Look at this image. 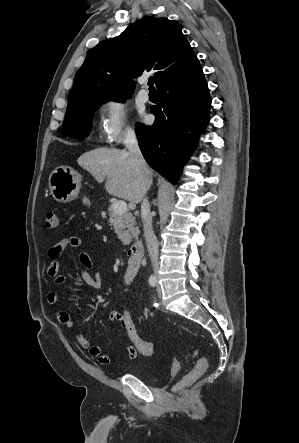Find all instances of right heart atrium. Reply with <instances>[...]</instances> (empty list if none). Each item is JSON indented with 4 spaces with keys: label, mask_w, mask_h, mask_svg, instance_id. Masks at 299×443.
<instances>
[{
    "label": "right heart atrium",
    "mask_w": 299,
    "mask_h": 443,
    "mask_svg": "<svg viewBox=\"0 0 299 443\" xmlns=\"http://www.w3.org/2000/svg\"><path fill=\"white\" fill-rule=\"evenodd\" d=\"M98 112L99 134L105 143L119 144L134 136L128 108L120 98L110 97L101 101Z\"/></svg>",
    "instance_id": "d8ad5b80"
}]
</instances>
